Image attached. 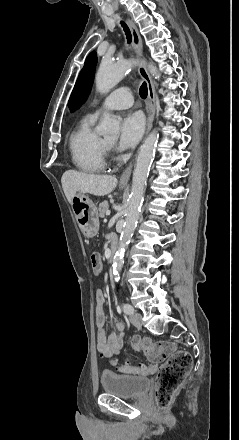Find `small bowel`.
<instances>
[{"label":"small bowel","instance_id":"c3829d8e","mask_svg":"<svg viewBox=\"0 0 239 440\" xmlns=\"http://www.w3.org/2000/svg\"><path fill=\"white\" fill-rule=\"evenodd\" d=\"M96 326H97V348L100 356L110 359L120 353L123 347V325L116 321L117 331L107 335L105 331L106 311L104 307L105 297L102 289H97L96 295Z\"/></svg>","mask_w":239,"mask_h":440}]
</instances>
